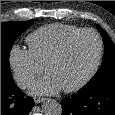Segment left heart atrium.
Listing matches in <instances>:
<instances>
[{"label":"left heart atrium","instance_id":"39dd6f15","mask_svg":"<svg viewBox=\"0 0 115 115\" xmlns=\"http://www.w3.org/2000/svg\"><path fill=\"white\" fill-rule=\"evenodd\" d=\"M63 87L51 74H46L39 79L31 88V93L38 95H52L59 92Z\"/></svg>","mask_w":115,"mask_h":115}]
</instances>
